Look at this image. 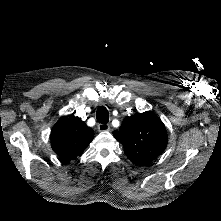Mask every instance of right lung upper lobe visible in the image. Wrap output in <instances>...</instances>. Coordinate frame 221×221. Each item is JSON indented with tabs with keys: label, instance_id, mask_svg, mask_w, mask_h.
<instances>
[{
	"label": "right lung upper lobe",
	"instance_id": "right-lung-upper-lobe-1",
	"mask_svg": "<svg viewBox=\"0 0 221 221\" xmlns=\"http://www.w3.org/2000/svg\"><path fill=\"white\" fill-rule=\"evenodd\" d=\"M93 138V129L73 115L61 117L51 131L52 148L65 163L81 155Z\"/></svg>",
	"mask_w": 221,
	"mask_h": 221
}]
</instances>
